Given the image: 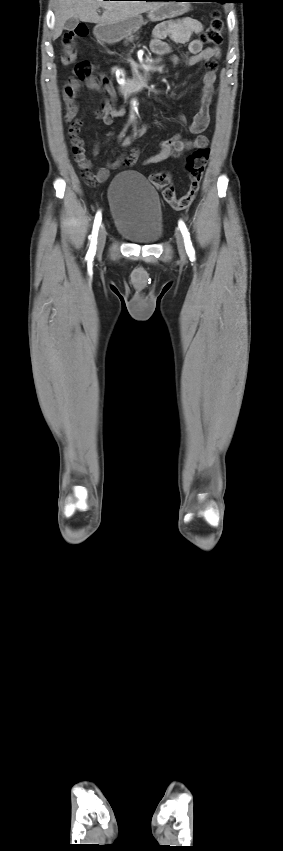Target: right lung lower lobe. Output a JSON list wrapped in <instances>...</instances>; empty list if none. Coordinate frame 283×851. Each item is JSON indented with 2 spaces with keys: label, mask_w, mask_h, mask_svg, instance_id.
<instances>
[{
  "label": "right lung lower lobe",
  "mask_w": 283,
  "mask_h": 851,
  "mask_svg": "<svg viewBox=\"0 0 283 851\" xmlns=\"http://www.w3.org/2000/svg\"><path fill=\"white\" fill-rule=\"evenodd\" d=\"M146 1H155V0H146Z\"/></svg>",
  "instance_id": "98d812e1"
}]
</instances>
